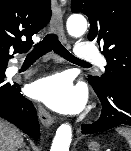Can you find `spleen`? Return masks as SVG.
<instances>
[{
  "instance_id": "3e777b00",
  "label": "spleen",
  "mask_w": 131,
  "mask_h": 151,
  "mask_svg": "<svg viewBox=\"0 0 131 151\" xmlns=\"http://www.w3.org/2000/svg\"><path fill=\"white\" fill-rule=\"evenodd\" d=\"M116 131L127 140L128 144L131 147V129L117 128Z\"/></svg>"
}]
</instances>
